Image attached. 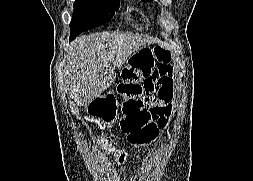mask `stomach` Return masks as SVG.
<instances>
[{"mask_svg":"<svg viewBox=\"0 0 253 181\" xmlns=\"http://www.w3.org/2000/svg\"><path fill=\"white\" fill-rule=\"evenodd\" d=\"M86 112L92 117H97L105 122H111L117 116L118 102L112 93H107L105 96L93 99L86 106Z\"/></svg>","mask_w":253,"mask_h":181,"instance_id":"obj_1","label":"stomach"}]
</instances>
